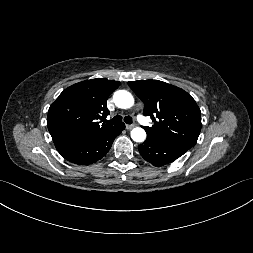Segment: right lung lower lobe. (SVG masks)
I'll return each instance as SVG.
<instances>
[{
	"label": "right lung lower lobe",
	"instance_id": "obj_1",
	"mask_svg": "<svg viewBox=\"0 0 253 253\" xmlns=\"http://www.w3.org/2000/svg\"><path fill=\"white\" fill-rule=\"evenodd\" d=\"M124 129L125 125L123 123L117 124L107 131L71 144L58 150V152L66 160L75 164L86 165L95 163L106 155L116 136Z\"/></svg>",
	"mask_w": 253,
	"mask_h": 253
}]
</instances>
